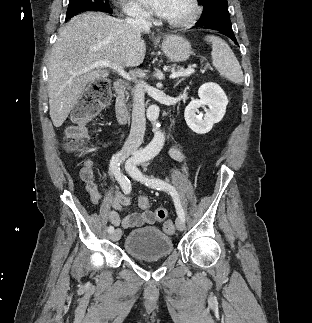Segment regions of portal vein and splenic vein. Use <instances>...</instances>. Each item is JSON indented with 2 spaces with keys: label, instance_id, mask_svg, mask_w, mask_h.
<instances>
[{
  "label": "portal vein and splenic vein",
  "instance_id": "obj_1",
  "mask_svg": "<svg viewBox=\"0 0 312 323\" xmlns=\"http://www.w3.org/2000/svg\"><path fill=\"white\" fill-rule=\"evenodd\" d=\"M99 66H107V68H112V70H116V72H118L119 76H123V78H125V80H131V78H129V74H127V72H125V70H123V68H119V66H110L109 62H95V64H93V66H91V68H99ZM194 70L193 68H188V70H183V72H172L171 76H169V78H179V76H190V74H193Z\"/></svg>",
  "mask_w": 312,
  "mask_h": 323
}]
</instances>
